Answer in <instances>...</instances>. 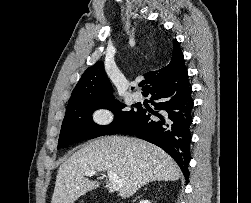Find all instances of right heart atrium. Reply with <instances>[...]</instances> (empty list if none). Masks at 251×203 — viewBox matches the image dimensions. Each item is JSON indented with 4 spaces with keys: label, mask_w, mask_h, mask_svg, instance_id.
I'll list each match as a JSON object with an SVG mask.
<instances>
[{
    "label": "right heart atrium",
    "mask_w": 251,
    "mask_h": 203,
    "mask_svg": "<svg viewBox=\"0 0 251 203\" xmlns=\"http://www.w3.org/2000/svg\"><path fill=\"white\" fill-rule=\"evenodd\" d=\"M113 120V114L105 108L97 109L93 114V121L100 126L109 125Z\"/></svg>",
    "instance_id": "d8ad5b80"
}]
</instances>
